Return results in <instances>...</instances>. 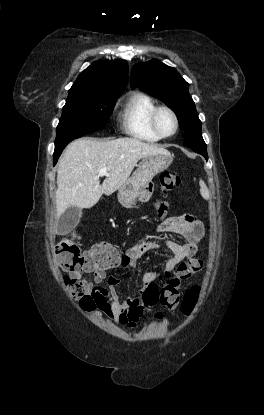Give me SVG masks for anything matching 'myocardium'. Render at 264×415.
<instances>
[{"instance_id":"myocardium-1","label":"myocardium","mask_w":264,"mask_h":415,"mask_svg":"<svg viewBox=\"0 0 264 415\" xmlns=\"http://www.w3.org/2000/svg\"><path fill=\"white\" fill-rule=\"evenodd\" d=\"M167 111L168 113H170L171 114V116L173 117V119H174V123H175V128H174V131L171 133V134H168V135H164V134H162L161 132H160V130H159V128H158V124H157V117H158V114H159V112H161V111ZM149 123H150V127H151V129L153 130V132L160 138V139H165V138H170V137H173L176 133H177V131H178V129H179V119H178V116H177V114L175 113V111L172 109V108H170L169 106H166V105H161V106H156L153 110H152V112L150 113V117H149Z\"/></svg>"}]
</instances>
